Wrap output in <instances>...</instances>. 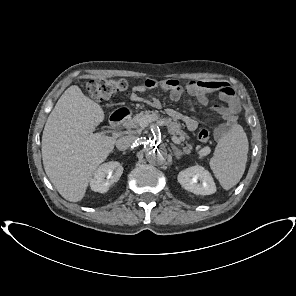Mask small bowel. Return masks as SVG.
I'll use <instances>...</instances> for the list:
<instances>
[{"label": "small bowel", "mask_w": 296, "mask_h": 296, "mask_svg": "<svg viewBox=\"0 0 296 296\" xmlns=\"http://www.w3.org/2000/svg\"><path fill=\"white\" fill-rule=\"evenodd\" d=\"M161 88L169 92L170 98L174 101L179 100L183 95L189 98H197L201 104L207 100V95L210 93H218L221 105L214 108V112L222 119V123L216 129L217 137L221 138L228 133V131L235 125L237 121V113L239 112V103L236 98L233 88L223 81H189L185 85H181L178 80L167 79L157 81L154 79H147L141 84L133 87L129 98L132 101H142L141 96L147 90ZM153 107H159L160 103L157 99L152 98L148 101ZM189 103L192 100L189 99ZM167 114L177 120H181L186 128L190 131H195L198 127V121L188 115H184L174 109H168Z\"/></svg>", "instance_id": "1"}]
</instances>
